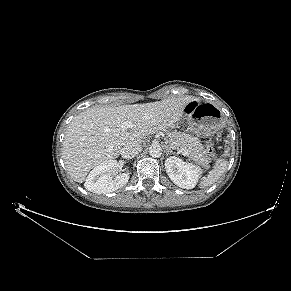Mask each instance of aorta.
Returning a JSON list of instances; mask_svg holds the SVG:
<instances>
[{
	"instance_id": "aorta-1",
	"label": "aorta",
	"mask_w": 291,
	"mask_h": 291,
	"mask_svg": "<svg viewBox=\"0 0 291 291\" xmlns=\"http://www.w3.org/2000/svg\"><path fill=\"white\" fill-rule=\"evenodd\" d=\"M149 154L154 157L158 158L162 155V148L159 144H152L149 147Z\"/></svg>"
}]
</instances>
